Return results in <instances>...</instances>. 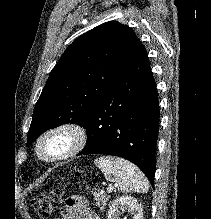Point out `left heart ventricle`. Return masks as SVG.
Wrapping results in <instances>:
<instances>
[{
  "label": "left heart ventricle",
  "mask_w": 211,
  "mask_h": 219,
  "mask_svg": "<svg viewBox=\"0 0 211 219\" xmlns=\"http://www.w3.org/2000/svg\"><path fill=\"white\" fill-rule=\"evenodd\" d=\"M64 145V141L60 140V139H52L50 140L44 147V151L47 154H55L57 152H59Z\"/></svg>",
  "instance_id": "1"
}]
</instances>
